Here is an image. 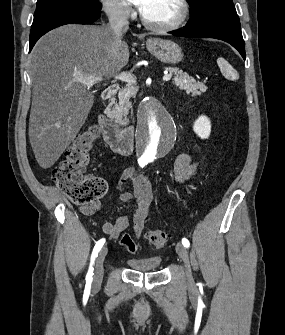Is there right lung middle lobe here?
I'll list each match as a JSON object with an SVG mask.
<instances>
[{"mask_svg": "<svg viewBox=\"0 0 285 335\" xmlns=\"http://www.w3.org/2000/svg\"><path fill=\"white\" fill-rule=\"evenodd\" d=\"M61 7H73L100 12L101 5L98 0H37L34 16Z\"/></svg>", "mask_w": 285, "mask_h": 335, "instance_id": "1", "label": "right lung middle lobe"}]
</instances>
